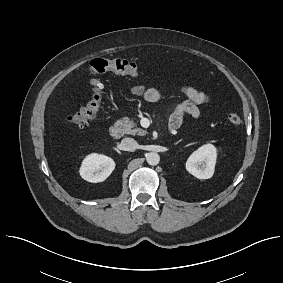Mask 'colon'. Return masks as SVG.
I'll return each mask as SVG.
<instances>
[{"label": "colon", "instance_id": "5ec220e1", "mask_svg": "<svg viewBox=\"0 0 283 283\" xmlns=\"http://www.w3.org/2000/svg\"><path fill=\"white\" fill-rule=\"evenodd\" d=\"M89 71L93 75L90 79L92 94L84 106L77 112L68 114L66 119L76 125L84 126L90 120L97 116L101 109L103 99V85L97 78V75L105 72H114L123 75L136 76L139 72L138 65L135 62L121 58H100L93 60L89 65ZM228 120L233 126L242 124L241 117L236 112L228 114Z\"/></svg>", "mask_w": 283, "mask_h": 283}]
</instances>
